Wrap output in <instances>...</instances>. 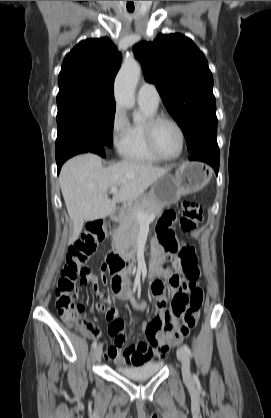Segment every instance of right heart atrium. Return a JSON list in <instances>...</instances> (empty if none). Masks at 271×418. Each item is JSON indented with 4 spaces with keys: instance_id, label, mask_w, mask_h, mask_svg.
I'll use <instances>...</instances> for the list:
<instances>
[{
    "instance_id": "1",
    "label": "right heart atrium",
    "mask_w": 271,
    "mask_h": 418,
    "mask_svg": "<svg viewBox=\"0 0 271 418\" xmlns=\"http://www.w3.org/2000/svg\"><path fill=\"white\" fill-rule=\"evenodd\" d=\"M126 126L125 114L121 108L117 107L111 122V139L114 147L118 150H120L123 145Z\"/></svg>"
}]
</instances>
